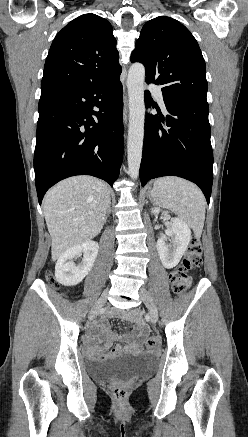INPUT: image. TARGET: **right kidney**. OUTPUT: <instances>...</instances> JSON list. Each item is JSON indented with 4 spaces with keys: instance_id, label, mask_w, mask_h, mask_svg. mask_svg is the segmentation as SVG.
I'll return each instance as SVG.
<instances>
[{
    "instance_id": "right-kidney-1",
    "label": "right kidney",
    "mask_w": 248,
    "mask_h": 437,
    "mask_svg": "<svg viewBox=\"0 0 248 437\" xmlns=\"http://www.w3.org/2000/svg\"><path fill=\"white\" fill-rule=\"evenodd\" d=\"M99 245L87 241L65 251L57 260L55 266L56 280L64 286L79 284L90 272L97 257ZM83 253L82 262L76 265L73 259Z\"/></svg>"
}]
</instances>
